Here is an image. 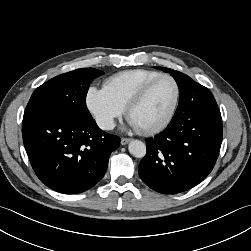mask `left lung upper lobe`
Returning <instances> with one entry per match:
<instances>
[{"label":"left lung upper lobe","mask_w":251,"mask_h":251,"mask_svg":"<svg viewBox=\"0 0 251 251\" xmlns=\"http://www.w3.org/2000/svg\"><path fill=\"white\" fill-rule=\"evenodd\" d=\"M157 68L170 73L175 78L178 84L179 90H180V95L189 91L192 92L194 89L202 86L196 83L195 81H193L189 76L181 72H178L169 68H165V67H157Z\"/></svg>","instance_id":"5c2ea615"}]
</instances>
